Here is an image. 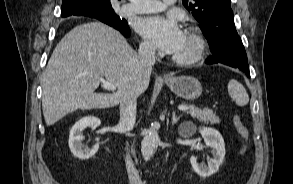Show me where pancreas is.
<instances>
[{"mask_svg":"<svg viewBox=\"0 0 293 184\" xmlns=\"http://www.w3.org/2000/svg\"><path fill=\"white\" fill-rule=\"evenodd\" d=\"M187 114H190L193 118L198 119L205 124H219L220 118L211 109H199L194 105H189Z\"/></svg>","mask_w":293,"mask_h":184,"instance_id":"1","label":"pancreas"}]
</instances>
